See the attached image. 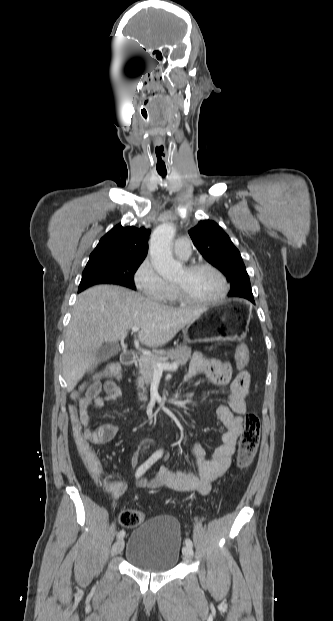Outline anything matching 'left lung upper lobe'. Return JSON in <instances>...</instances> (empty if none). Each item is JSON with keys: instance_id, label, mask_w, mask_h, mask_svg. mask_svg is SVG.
Listing matches in <instances>:
<instances>
[{"instance_id": "obj_1", "label": "left lung upper lobe", "mask_w": 333, "mask_h": 621, "mask_svg": "<svg viewBox=\"0 0 333 621\" xmlns=\"http://www.w3.org/2000/svg\"><path fill=\"white\" fill-rule=\"evenodd\" d=\"M189 235L206 261L228 276L231 283L228 296L254 303L249 276L240 252L223 229L214 221L203 220L190 229Z\"/></svg>"}]
</instances>
